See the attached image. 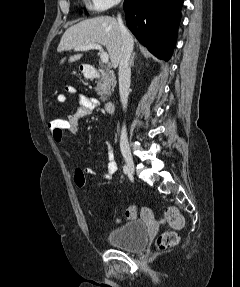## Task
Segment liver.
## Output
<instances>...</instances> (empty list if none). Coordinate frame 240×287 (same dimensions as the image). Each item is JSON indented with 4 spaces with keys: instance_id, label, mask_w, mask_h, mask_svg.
I'll return each mask as SVG.
<instances>
[{
    "instance_id": "obj_1",
    "label": "liver",
    "mask_w": 240,
    "mask_h": 287,
    "mask_svg": "<svg viewBox=\"0 0 240 287\" xmlns=\"http://www.w3.org/2000/svg\"><path fill=\"white\" fill-rule=\"evenodd\" d=\"M89 44L104 45L113 67H117L122 44L118 21L110 16L81 21L65 31L57 50L62 52ZM81 57L82 54L70 56L69 62H75Z\"/></svg>"
}]
</instances>
